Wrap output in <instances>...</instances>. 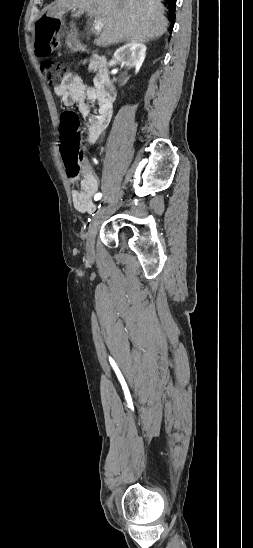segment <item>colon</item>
<instances>
[{
  "instance_id": "obj_1",
  "label": "colon",
  "mask_w": 253,
  "mask_h": 548,
  "mask_svg": "<svg viewBox=\"0 0 253 548\" xmlns=\"http://www.w3.org/2000/svg\"><path fill=\"white\" fill-rule=\"evenodd\" d=\"M59 45V23L52 18H42L36 25V48L42 53H49ZM41 69L48 84L59 86L67 72L64 63L45 60ZM80 132L77 115L73 111H66L62 116L61 154L67 165V173L76 176L80 172L79 160Z\"/></svg>"
}]
</instances>
